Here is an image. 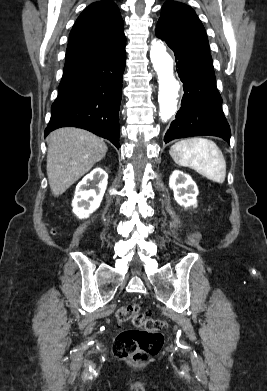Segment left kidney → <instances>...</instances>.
<instances>
[{
	"label": "left kidney",
	"instance_id": "obj_1",
	"mask_svg": "<svg viewBox=\"0 0 267 391\" xmlns=\"http://www.w3.org/2000/svg\"><path fill=\"white\" fill-rule=\"evenodd\" d=\"M169 186L173 190L176 202L188 208L197 205L198 189L192 178L180 170L173 171L170 176Z\"/></svg>",
	"mask_w": 267,
	"mask_h": 391
}]
</instances>
